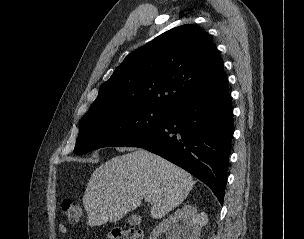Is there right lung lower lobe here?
<instances>
[{
  "instance_id": "98d812e1",
  "label": "right lung lower lobe",
  "mask_w": 304,
  "mask_h": 239,
  "mask_svg": "<svg viewBox=\"0 0 304 239\" xmlns=\"http://www.w3.org/2000/svg\"><path fill=\"white\" fill-rule=\"evenodd\" d=\"M233 108L226 78L171 106L153 131L127 144L141 147L185 169L204 182L223 204Z\"/></svg>"
}]
</instances>
